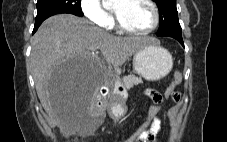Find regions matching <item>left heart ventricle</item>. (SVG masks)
Wrapping results in <instances>:
<instances>
[{
	"label": "left heart ventricle",
	"mask_w": 227,
	"mask_h": 142,
	"mask_svg": "<svg viewBox=\"0 0 227 142\" xmlns=\"http://www.w3.org/2000/svg\"><path fill=\"white\" fill-rule=\"evenodd\" d=\"M112 12L126 27L134 30L147 28L153 20L151 7L145 0H116Z\"/></svg>",
	"instance_id": "b2bd125f"
}]
</instances>
